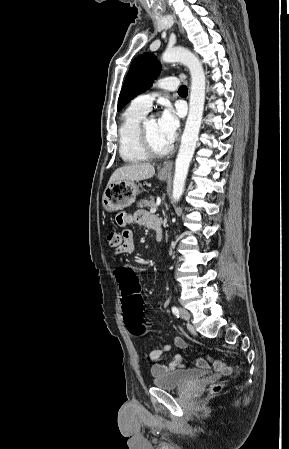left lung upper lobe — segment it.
Masks as SVG:
<instances>
[{
	"instance_id": "5c2ea615",
	"label": "left lung upper lobe",
	"mask_w": 289,
	"mask_h": 449,
	"mask_svg": "<svg viewBox=\"0 0 289 449\" xmlns=\"http://www.w3.org/2000/svg\"><path fill=\"white\" fill-rule=\"evenodd\" d=\"M160 69V64L154 54L147 53L136 57L120 92L118 111L134 97L149 89L153 80L159 75Z\"/></svg>"
}]
</instances>
